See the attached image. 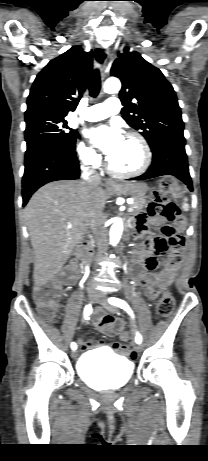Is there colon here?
I'll return each instance as SVG.
<instances>
[{
    "mask_svg": "<svg viewBox=\"0 0 208 461\" xmlns=\"http://www.w3.org/2000/svg\"><path fill=\"white\" fill-rule=\"evenodd\" d=\"M179 190L177 182L172 178H164L159 186L151 194L150 216L155 219L167 222L179 221L181 217L178 206L171 200L172 195ZM184 245V242H183ZM61 282L50 281L44 285L36 286L33 292V299L37 304L40 312L49 319H54L60 295ZM175 308V299L173 295L164 291L157 304V313L162 318H169ZM123 353L130 360H136L138 353L136 348H132L129 343H124Z\"/></svg>",
    "mask_w": 208,
    "mask_h": 461,
    "instance_id": "colon-1",
    "label": "colon"
}]
</instances>
